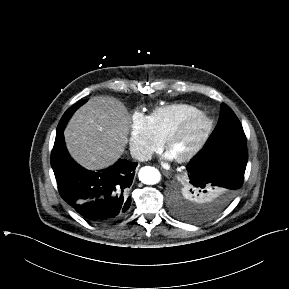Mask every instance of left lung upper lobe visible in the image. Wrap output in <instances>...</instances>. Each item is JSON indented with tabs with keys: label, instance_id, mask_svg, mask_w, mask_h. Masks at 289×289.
Wrapping results in <instances>:
<instances>
[{
	"label": "left lung upper lobe",
	"instance_id": "obj_1",
	"mask_svg": "<svg viewBox=\"0 0 289 289\" xmlns=\"http://www.w3.org/2000/svg\"><path fill=\"white\" fill-rule=\"evenodd\" d=\"M246 142V136L240 121L231 108L226 104H222L218 124L204 145L203 150L234 143L246 144ZM212 200L213 195L210 193L182 182L180 189L175 193L172 210L176 216L184 220L206 221L217 215L211 210Z\"/></svg>",
	"mask_w": 289,
	"mask_h": 289
}]
</instances>
